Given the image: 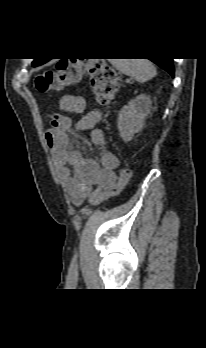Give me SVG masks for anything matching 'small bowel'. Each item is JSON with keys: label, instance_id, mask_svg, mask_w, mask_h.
<instances>
[{"label": "small bowel", "instance_id": "obj_1", "mask_svg": "<svg viewBox=\"0 0 206 348\" xmlns=\"http://www.w3.org/2000/svg\"><path fill=\"white\" fill-rule=\"evenodd\" d=\"M60 107L69 113H83L86 100L81 96L64 95ZM101 119L99 111L84 114L75 124L77 131H90V141L100 150V162L87 160L80 151L71 147L68 130L72 122L63 114H53L45 131V141L51 149L52 158L58 176L66 188L71 202L79 206L90 193L94 185H112L116 183L118 158L104 150V133L96 128Z\"/></svg>", "mask_w": 206, "mask_h": 348}]
</instances>
